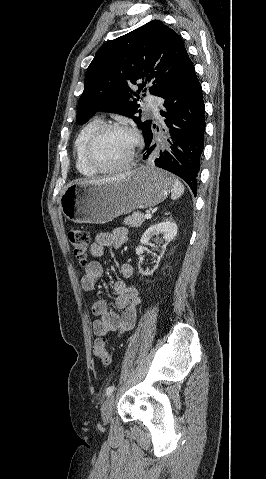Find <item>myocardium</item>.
I'll use <instances>...</instances> for the list:
<instances>
[{"label": "myocardium", "mask_w": 266, "mask_h": 479, "mask_svg": "<svg viewBox=\"0 0 266 479\" xmlns=\"http://www.w3.org/2000/svg\"><path fill=\"white\" fill-rule=\"evenodd\" d=\"M111 130H121V131H125V132L129 133L133 138V145H132V148L130 150V153H129L128 157L126 158V160L124 162H122L119 165L106 168V167H101L100 165H98L95 162V160L93 158V151H94V147H95L97 141L99 140V138L103 134H105L106 132L111 131ZM140 144H141V139H140L139 135L130 126L125 125V124H121V123H106V124L100 125L89 137V139L86 143V146H85V150H84V158H85V161H86L87 165L95 173H97V174L114 173V172H118V171H121V170H125L132 165V163L134 161V158H135V155H136V151L139 148Z\"/></svg>", "instance_id": "obj_1"}]
</instances>
